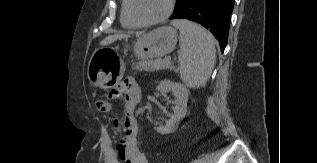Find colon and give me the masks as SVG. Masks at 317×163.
I'll return each mask as SVG.
<instances>
[{
	"label": "colon",
	"mask_w": 317,
	"mask_h": 163,
	"mask_svg": "<svg viewBox=\"0 0 317 163\" xmlns=\"http://www.w3.org/2000/svg\"><path fill=\"white\" fill-rule=\"evenodd\" d=\"M97 107L102 111H108L110 109V104L103 99H99L97 101ZM115 122H117V121H115Z\"/></svg>",
	"instance_id": "1"
}]
</instances>
